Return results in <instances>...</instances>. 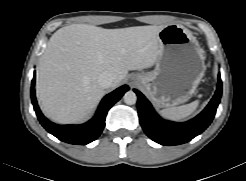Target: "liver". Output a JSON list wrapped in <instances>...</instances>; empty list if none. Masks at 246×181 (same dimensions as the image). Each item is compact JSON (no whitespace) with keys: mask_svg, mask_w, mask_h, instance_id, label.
I'll use <instances>...</instances> for the list:
<instances>
[{"mask_svg":"<svg viewBox=\"0 0 246 181\" xmlns=\"http://www.w3.org/2000/svg\"><path fill=\"white\" fill-rule=\"evenodd\" d=\"M164 26L104 29L71 24L50 38L39 62L36 95L44 114L56 123L85 120L104 94L99 75L108 71L117 87L130 70L152 67L160 54Z\"/></svg>","mask_w":246,"mask_h":181,"instance_id":"liver-1","label":"liver"}]
</instances>
